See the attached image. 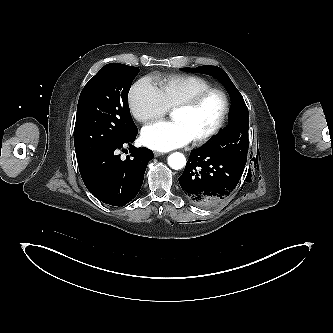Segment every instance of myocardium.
I'll return each mask as SVG.
<instances>
[{
  "label": "myocardium",
  "instance_id": "obj_1",
  "mask_svg": "<svg viewBox=\"0 0 333 333\" xmlns=\"http://www.w3.org/2000/svg\"><path fill=\"white\" fill-rule=\"evenodd\" d=\"M213 94L219 95L223 100L222 114H221L220 119L218 120L217 124L209 132L192 140V142L195 146H201V145L209 142L211 139H213L215 136H217L221 132V130L224 128V126L228 120V116H229V112H230V100H229L228 95L222 89L211 87V88H208L206 90H203V91L197 93L193 97L189 98L188 100H186L184 102H181L180 104L176 105L173 108V111L193 110V109L197 108L205 99H207L209 96H211Z\"/></svg>",
  "mask_w": 333,
  "mask_h": 333
}]
</instances>
